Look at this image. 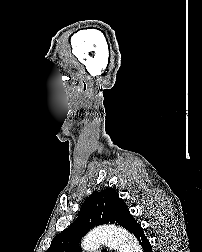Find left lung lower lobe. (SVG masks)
Listing matches in <instances>:
<instances>
[{
	"instance_id": "0a47b994",
	"label": "left lung lower lobe",
	"mask_w": 202,
	"mask_h": 252,
	"mask_svg": "<svg viewBox=\"0 0 202 252\" xmlns=\"http://www.w3.org/2000/svg\"><path fill=\"white\" fill-rule=\"evenodd\" d=\"M129 232L132 233L137 238V240L139 241V243L143 249V252H152V247L149 243V240L144 235L143 228L141 227L140 224L135 223L131 227Z\"/></svg>"
}]
</instances>
